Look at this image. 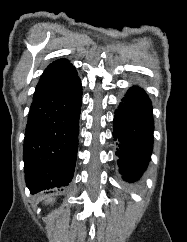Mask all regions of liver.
<instances>
[{
	"mask_svg": "<svg viewBox=\"0 0 187 242\" xmlns=\"http://www.w3.org/2000/svg\"><path fill=\"white\" fill-rule=\"evenodd\" d=\"M53 201H54L53 198H49V199L47 200V203H52Z\"/></svg>",
	"mask_w": 187,
	"mask_h": 242,
	"instance_id": "6515ba94",
	"label": "liver"
}]
</instances>
